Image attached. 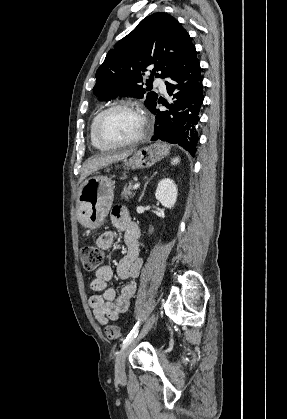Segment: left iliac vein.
I'll list each match as a JSON object with an SVG mask.
<instances>
[{
	"mask_svg": "<svg viewBox=\"0 0 287 419\" xmlns=\"http://www.w3.org/2000/svg\"><path fill=\"white\" fill-rule=\"evenodd\" d=\"M156 320L155 315H152L145 323L139 337L135 340L132 341L129 345H127L125 348L122 349V351L118 354L116 361H115V374L116 377L118 379H124L125 378V360L126 357L130 351V349L132 348V346L135 344L136 341L140 340L141 338H143L151 329V327L153 326L154 322Z\"/></svg>",
	"mask_w": 287,
	"mask_h": 419,
	"instance_id": "1",
	"label": "left iliac vein"
}]
</instances>
